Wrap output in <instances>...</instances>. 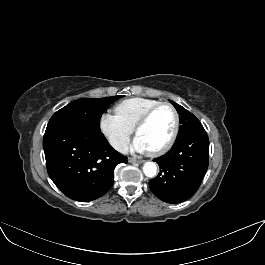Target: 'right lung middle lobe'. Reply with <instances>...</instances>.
<instances>
[{
  "instance_id": "right-lung-middle-lobe-1",
  "label": "right lung middle lobe",
  "mask_w": 265,
  "mask_h": 265,
  "mask_svg": "<svg viewBox=\"0 0 265 265\" xmlns=\"http://www.w3.org/2000/svg\"><path fill=\"white\" fill-rule=\"evenodd\" d=\"M122 96L105 98H82L75 100L58 110L49 120V123L57 121H70L100 130V118L105 109Z\"/></svg>"
}]
</instances>
